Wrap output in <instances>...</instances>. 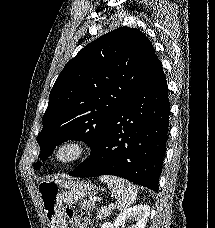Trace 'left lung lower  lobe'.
Here are the masks:
<instances>
[{
    "label": "left lung lower lobe",
    "mask_w": 215,
    "mask_h": 228,
    "mask_svg": "<svg viewBox=\"0 0 215 228\" xmlns=\"http://www.w3.org/2000/svg\"><path fill=\"white\" fill-rule=\"evenodd\" d=\"M169 110L167 82L156 56L142 82L106 127L90 157L69 175H115L158 192Z\"/></svg>",
    "instance_id": "left-lung-lower-lobe-1"
}]
</instances>
